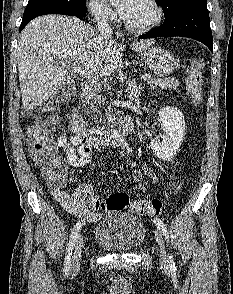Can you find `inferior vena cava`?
Listing matches in <instances>:
<instances>
[{
  "instance_id": "602c4592",
  "label": "inferior vena cava",
  "mask_w": 233,
  "mask_h": 294,
  "mask_svg": "<svg viewBox=\"0 0 233 294\" xmlns=\"http://www.w3.org/2000/svg\"><path fill=\"white\" fill-rule=\"evenodd\" d=\"M97 23H98V32L102 39L104 40H111L113 36V32L111 26L108 23V17L106 10H102L96 16ZM95 100L99 105L103 103V98L100 94H95Z\"/></svg>"
}]
</instances>
